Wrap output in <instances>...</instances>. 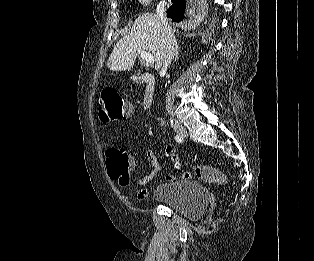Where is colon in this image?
<instances>
[{
  "label": "colon",
  "mask_w": 314,
  "mask_h": 261,
  "mask_svg": "<svg viewBox=\"0 0 314 261\" xmlns=\"http://www.w3.org/2000/svg\"><path fill=\"white\" fill-rule=\"evenodd\" d=\"M99 117L103 123L120 121L129 115L130 109L124 97L114 88L104 89L99 95ZM131 168L130 155L125 150L110 149L107 153L106 169L111 178L125 185L129 182V169ZM193 174L207 183L223 184L226 175L207 165H196ZM185 178L191 173L185 172Z\"/></svg>",
  "instance_id": "1"
}]
</instances>
